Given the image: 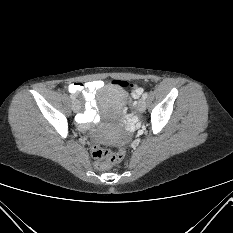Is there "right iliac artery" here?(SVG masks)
Here are the masks:
<instances>
[{
  "mask_svg": "<svg viewBox=\"0 0 233 233\" xmlns=\"http://www.w3.org/2000/svg\"><path fill=\"white\" fill-rule=\"evenodd\" d=\"M70 98H71L72 100H75V96H74L73 94L70 95Z\"/></svg>",
  "mask_w": 233,
  "mask_h": 233,
  "instance_id": "1",
  "label": "right iliac artery"
}]
</instances>
